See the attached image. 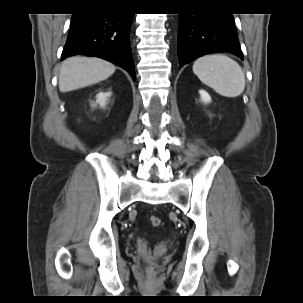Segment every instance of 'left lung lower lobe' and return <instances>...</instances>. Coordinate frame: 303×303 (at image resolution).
<instances>
[{"label": "left lung lower lobe", "instance_id": "1", "mask_svg": "<svg viewBox=\"0 0 303 303\" xmlns=\"http://www.w3.org/2000/svg\"><path fill=\"white\" fill-rule=\"evenodd\" d=\"M177 46L180 65L217 52L232 53L243 59L230 13L180 14Z\"/></svg>", "mask_w": 303, "mask_h": 303}]
</instances>
